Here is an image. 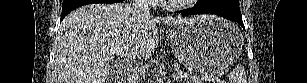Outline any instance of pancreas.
I'll use <instances>...</instances> for the list:
<instances>
[{
    "instance_id": "cf45deb5",
    "label": "pancreas",
    "mask_w": 307,
    "mask_h": 83,
    "mask_svg": "<svg viewBox=\"0 0 307 83\" xmlns=\"http://www.w3.org/2000/svg\"><path fill=\"white\" fill-rule=\"evenodd\" d=\"M180 73H182V74H184V75H186V77H185V81L187 82V83H202L203 82V78H201V76L200 75H198V74H194V73H192V72H180ZM208 82L209 83H221V81H215V80H208Z\"/></svg>"
}]
</instances>
